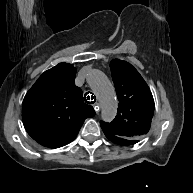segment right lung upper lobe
I'll use <instances>...</instances> for the list:
<instances>
[{
  "mask_svg": "<svg viewBox=\"0 0 193 193\" xmlns=\"http://www.w3.org/2000/svg\"><path fill=\"white\" fill-rule=\"evenodd\" d=\"M76 68L60 63L45 71L23 100V124L39 144L58 148L75 139L84 120L93 117L74 84Z\"/></svg>",
  "mask_w": 193,
  "mask_h": 193,
  "instance_id": "1",
  "label": "right lung upper lobe"
}]
</instances>
